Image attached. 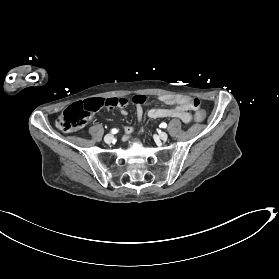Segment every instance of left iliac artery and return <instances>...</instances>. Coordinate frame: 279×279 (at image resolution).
Here are the masks:
<instances>
[{
    "mask_svg": "<svg viewBox=\"0 0 279 279\" xmlns=\"http://www.w3.org/2000/svg\"><path fill=\"white\" fill-rule=\"evenodd\" d=\"M161 128H166L167 127V124L165 122H162L160 125H159Z\"/></svg>",
    "mask_w": 279,
    "mask_h": 279,
    "instance_id": "left-iliac-artery-1",
    "label": "left iliac artery"
}]
</instances>
